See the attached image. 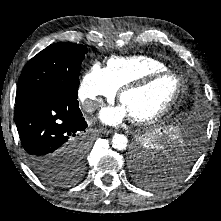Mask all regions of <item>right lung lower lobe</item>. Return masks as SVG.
Instances as JSON below:
<instances>
[{
  "mask_svg": "<svg viewBox=\"0 0 221 221\" xmlns=\"http://www.w3.org/2000/svg\"><path fill=\"white\" fill-rule=\"evenodd\" d=\"M14 119L26 160L36 174L43 164H59L63 170L74 149L88 140L77 96L64 91L22 98L16 102Z\"/></svg>",
  "mask_w": 221,
  "mask_h": 221,
  "instance_id": "right-lung-lower-lobe-1",
  "label": "right lung lower lobe"
}]
</instances>
